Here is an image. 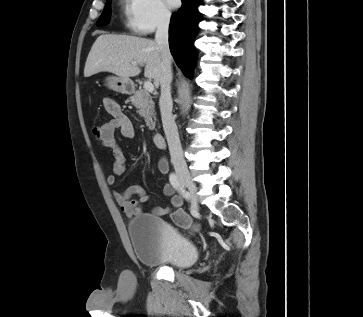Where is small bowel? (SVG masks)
Masks as SVG:
<instances>
[{
	"instance_id": "c3829d8e",
	"label": "small bowel",
	"mask_w": 363,
	"mask_h": 317,
	"mask_svg": "<svg viewBox=\"0 0 363 317\" xmlns=\"http://www.w3.org/2000/svg\"><path fill=\"white\" fill-rule=\"evenodd\" d=\"M103 105L106 111L112 116V119L99 126L98 132L94 134L102 145L111 148L113 151L112 172L107 177V183L114 185L116 178L122 175L126 169V158L116 142L115 131H119L125 139H131L135 135L134 126L128 116L122 111L120 105L111 98H105ZM158 169L162 174L168 172V164L164 159L159 160ZM165 196L171 197V204L167 206H158L152 209V213L157 216L170 214L178 210L182 204L181 196L175 194L172 184L166 183L163 187ZM136 196V198H133ZM113 197L118 203L121 211L128 217L144 213L143 205L149 200V196L141 186H130L124 191H113Z\"/></svg>"
}]
</instances>
